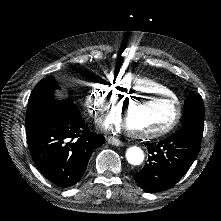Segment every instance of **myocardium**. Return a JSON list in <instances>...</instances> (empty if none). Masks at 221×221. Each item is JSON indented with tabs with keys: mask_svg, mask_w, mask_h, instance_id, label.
<instances>
[{
	"mask_svg": "<svg viewBox=\"0 0 221 221\" xmlns=\"http://www.w3.org/2000/svg\"><path fill=\"white\" fill-rule=\"evenodd\" d=\"M166 100L171 103V114L168 116L167 120L161 123H154L144 127L143 131H139L138 129H121L120 126L116 123L115 118L113 117L115 113L120 109L124 108L126 105H130L131 103H141L144 101L150 100ZM180 108L178 102L175 97L165 94L159 91H149V92H141L139 94H134L125 100L120 101L118 104H115L110 108L108 115V122L111 124L113 130L121 136H133L139 138H158L162 137V135L170 132L171 128L176 125V118L179 117Z\"/></svg>",
	"mask_w": 221,
	"mask_h": 221,
	"instance_id": "obj_1",
	"label": "myocardium"
}]
</instances>
